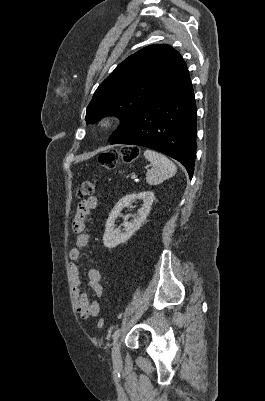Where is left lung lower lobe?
I'll use <instances>...</instances> for the list:
<instances>
[{
    "label": "left lung lower lobe",
    "mask_w": 265,
    "mask_h": 401,
    "mask_svg": "<svg viewBox=\"0 0 265 401\" xmlns=\"http://www.w3.org/2000/svg\"><path fill=\"white\" fill-rule=\"evenodd\" d=\"M197 107L186 68L135 120L111 140L162 152L181 162L192 178L196 152Z\"/></svg>",
    "instance_id": "1"
}]
</instances>
